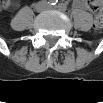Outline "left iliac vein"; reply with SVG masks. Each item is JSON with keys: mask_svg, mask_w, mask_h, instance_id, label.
Masks as SVG:
<instances>
[{"mask_svg": "<svg viewBox=\"0 0 103 103\" xmlns=\"http://www.w3.org/2000/svg\"><path fill=\"white\" fill-rule=\"evenodd\" d=\"M50 8L55 9L56 7H50Z\"/></svg>", "mask_w": 103, "mask_h": 103, "instance_id": "1", "label": "left iliac vein"}]
</instances>
